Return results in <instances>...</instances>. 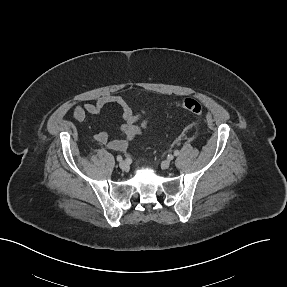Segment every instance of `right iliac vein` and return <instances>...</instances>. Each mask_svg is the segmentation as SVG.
<instances>
[{"instance_id":"1","label":"right iliac vein","mask_w":287,"mask_h":287,"mask_svg":"<svg viewBox=\"0 0 287 287\" xmlns=\"http://www.w3.org/2000/svg\"><path fill=\"white\" fill-rule=\"evenodd\" d=\"M119 167L123 170V171H127L129 169V163L127 161H121L119 163Z\"/></svg>"}]
</instances>
